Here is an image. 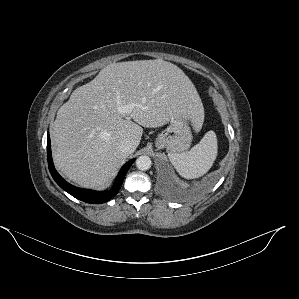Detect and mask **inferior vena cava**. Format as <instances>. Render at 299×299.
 Masks as SVG:
<instances>
[{
  "label": "inferior vena cava",
  "instance_id": "1",
  "mask_svg": "<svg viewBox=\"0 0 299 299\" xmlns=\"http://www.w3.org/2000/svg\"><path fill=\"white\" fill-rule=\"evenodd\" d=\"M122 152L131 154L136 150L137 144L133 139H123L119 145Z\"/></svg>",
  "mask_w": 299,
  "mask_h": 299
}]
</instances>
